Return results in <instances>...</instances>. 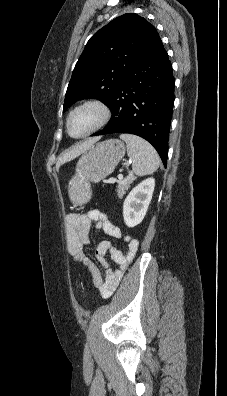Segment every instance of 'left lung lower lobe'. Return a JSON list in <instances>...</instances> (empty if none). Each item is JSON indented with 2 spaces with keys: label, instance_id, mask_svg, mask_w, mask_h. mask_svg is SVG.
Here are the masks:
<instances>
[{
  "label": "left lung lower lobe",
  "instance_id": "left-lung-lower-lobe-1",
  "mask_svg": "<svg viewBox=\"0 0 227 396\" xmlns=\"http://www.w3.org/2000/svg\"><path fill=\"white\" fill-rule=\"evenodd\" d=\"M174 85L172 65L160 40L129 71L108 105L109 123L92 136L138 135L153 145L166 167Z\"/></svg>",
  "mask_w": 227,
  "mask_h": 396
}]
</instances>
